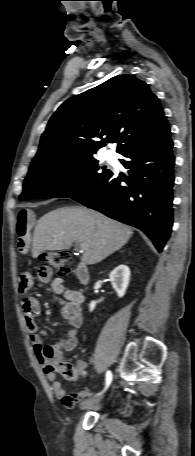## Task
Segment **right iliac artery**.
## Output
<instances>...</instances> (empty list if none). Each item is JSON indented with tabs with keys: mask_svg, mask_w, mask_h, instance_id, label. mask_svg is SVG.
Wrapping results in <instances>:
<instances>
[{
	"mask_svg": "<svg viewBox=\"0 0 195 456\" xmlns=\"http://www.w3.org/2000/svg\"><path fill=\"white\" fill-rule=\"evenodd\" d=\"M112 381V373L111 371H107L106 373V388L107 389Z\"/></svg>",
	"mask_w": 195,
	"mask_h": 456,
	"instance_id": "right-iliac-artery-1",
	"label": "right iliac artery"
}]
</instances>
